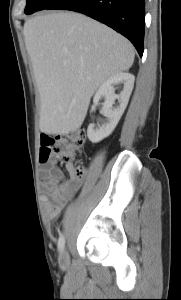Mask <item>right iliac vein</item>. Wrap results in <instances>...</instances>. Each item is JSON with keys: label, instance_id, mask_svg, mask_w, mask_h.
Instances as JSON below:
<instances>
[{"label": "right iliac vein", "instance_id": "right-iliac-vein-1", "mask_svg": "<svg viewBox=\"0 0 181 300\" xmlns=\"http://www.w3.org/2000/svg\"><path fill=\"white\" fill-rule=\"evenodd\" d=\"M59 265L62 269H66L70 265L69 255L66 250H63L59 255Z\"/></svg>", "mask_w": 181, "mask_h": 300}]
</instances>
